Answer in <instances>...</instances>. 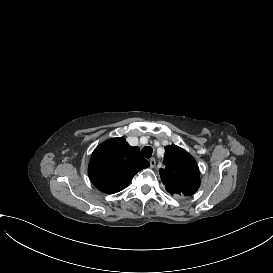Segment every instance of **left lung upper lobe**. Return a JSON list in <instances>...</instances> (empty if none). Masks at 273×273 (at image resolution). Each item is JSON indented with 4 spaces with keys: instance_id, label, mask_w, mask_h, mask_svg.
I'll return each mask as SVG.
<instances>
[{
    "instance_id": "obj_1",
    "label": "left lung upper lobe",
    "mask_w": 273,
    "mask_h": 273,
    "mask_svg": "<svg viewBox=\"0 0 273 273\" xmlns=\"http://www.w3.org/2000/svg\"><path fill=\"white\" fill-rule=\"evenodd\" d=\"M163 162L165 168L159 173L168 192L191 196L198 190L199 169L189 153L176 145L165 146Z\"/></svg>"
}]
</instances>
